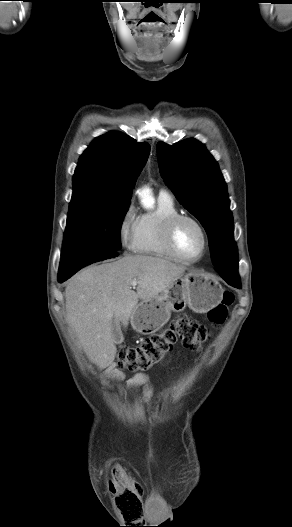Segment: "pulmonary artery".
<instances>
[{"label": "pulmonary artery", "instance_id": "e3ab8cb5", "mask_svg": "<svg viewBox=\"0 0 292 527\" xmlns=\"http://www.w3.org/2000/svg\"><path fill=\"white\" fill-rule=\"evenodd\" d=\"M160 195L170 196L169 192L165 189L160 190Z\"/></svg>", "mask_w": 292, "mask_h": 527}]
</instances>
